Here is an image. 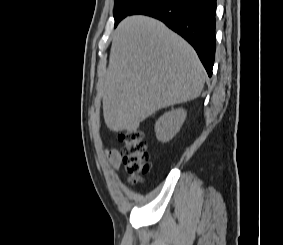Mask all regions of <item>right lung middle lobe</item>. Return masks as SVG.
<instances>
[{"instance_id":"dd1d6c3e","label":"right lung middle lobe","mask_w":283,"mask_h":245,"mask_svg":"<svg viewBox=\"0 0 283 245\" xmlns=\"http://www.w3.org/2000/svg\"><path fill=\"white\" fill-rule=\"evenodd\" d=\"M146 0H115L114 5V19L115 26L127 15H129L135 8Z\"/></svg>"}]
</instances>
